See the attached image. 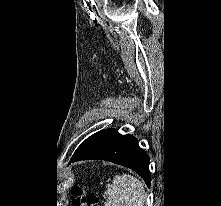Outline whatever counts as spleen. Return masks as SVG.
<instances>
[{"label":"spleen","instance_id":"obj_1","mask_svg":"<svg viewBox=\"0 0 221 206\" xmlns=\"http://www.w3.org/2000/svg\"><path fill=\"white\" fill-rule=\"evenodd\" d=\"M105 206H144L145 189L142 182L132 175L115 176L108 185Z\"/></svg>","mask_w":221,"mask_h":206}]
</instances>
